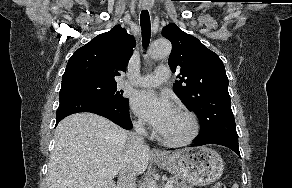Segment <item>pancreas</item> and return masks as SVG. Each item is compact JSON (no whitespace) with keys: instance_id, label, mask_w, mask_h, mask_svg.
I'll return each mask as SVG.
<instances>
[{"instance_id":"cf45deb5","label":"pancreas","mask_w":292,"mask_h":188,"mask_svg":"<svg viewBox=\"0 0 292 188\" xmlns=\"http://www.w3.org/2000/svg\"><path fill=\"white\" fill-rule=\"evenodd\" d=\"M170 180L174 183L173 188H190L186 182H178L174 177H171Z\"/></svg>"}]
</instances>
